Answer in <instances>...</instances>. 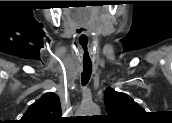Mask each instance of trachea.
Returning a JSON list of instances; mask_svg holds the SVG:
<instances>
[{
	"label": "trachea",
	"mask_w": 172,
	"mask_h": 123,
	"mask_svg": "<svg viewBox=\"0 0 172 123\" xmlns=\"http://www.w3.org/2000/svg\"><path fill=\"white\" fill-rule=\"evenodd\" d=\"M84 56L89 57L88 52L84 53ZM91 74H92V62L87 63V64L84 63L83 64V72H82V84L83 85L88 83V81L91 77Z\"/></svg>",
	"instance_id": "3493384b"
}]
</instances>
